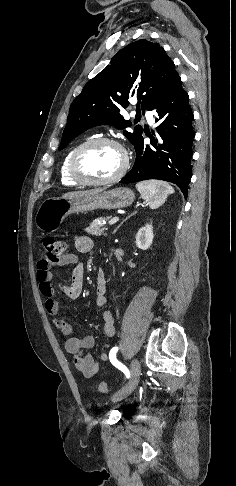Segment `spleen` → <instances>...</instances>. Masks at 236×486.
Here are the masks:
<instances>
[{
  "mask_svg": "<svg viewBox=\"0 0 236 486\" xmlns=\"http://www.w3.org/2000/svg\"><path fill=\"white\" fill-rule=\"evenodd\" d=\"M136 188L151 209L160 207L166 201L168 195L174 193L171 185L157 180L138 182Z\"/></svg>",
  "mask_w": 236,
  "mask_h": 486,
  "instance_id": "spleen-1",
  "label": "spleen"
}]
</instances>
